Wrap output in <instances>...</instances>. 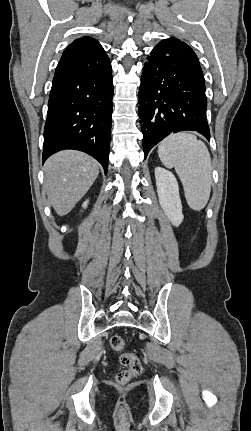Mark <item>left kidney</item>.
<instances>
[{
	"label": "left kidney",
	"instance_id": "1",
	"mask_svg": "<svg viewBox=\"0 0 251 431\" xmlns=\"http://www.w3.org/2000/svg\"><path fill=\"white\" fill-rule=\"evenodd\" d=\"M155 179L160 205L174 226H179L184 216L175 176L162 167L155 168Z\"/></svg>",
	"mask_w": 251,
	"mask_h": 431
}]
</instances>
